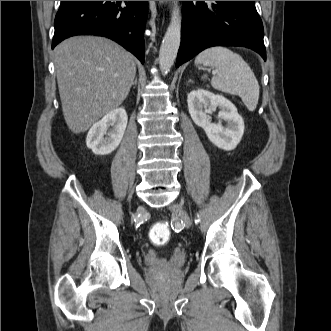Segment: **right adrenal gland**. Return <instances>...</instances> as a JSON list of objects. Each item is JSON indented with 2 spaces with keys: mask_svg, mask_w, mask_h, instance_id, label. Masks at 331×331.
<instances>
[{
  "mask_svg": "<svg viewBox=\"0 0 331 331\" xmlns=\"http://www.w3.org/2000/svg\"><path fill=\"white\" fill-rule=\"evenodd\" d=\"M133 85H134V86L137 85V78L133 81Z\"/></svg>",
  "mask_w": 331,
  "mask_h": 331,
  "instance_id": "2a0ac1e0",
  "label": "right adrenal gland"
}]
</instances>
